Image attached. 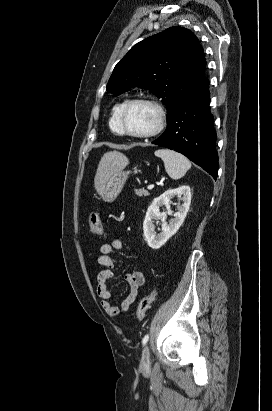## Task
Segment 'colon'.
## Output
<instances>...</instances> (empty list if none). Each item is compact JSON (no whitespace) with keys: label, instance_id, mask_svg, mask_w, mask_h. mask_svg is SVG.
Instances as JSON below:
<instances>
[{"label":"colon","instance_id":"1","mask_svg":"<svg viewBox=\"0 0 272 411\" xmlns=\"http://www.w3.org/2000/svg\"><path fill=\"white\" fill-rule=\"evenodd\" d=\"M89 231L90 234L99 237L102 235L103 226L101 215L99 212H92L89 218ZM158 295V289L153 290L150 294L144 296L138 303L136 316L138 320H143L146 312L149 310L153 302L155 301Z\"/></svg>","mask_w":272,"mask_h":411}]
</instances>
